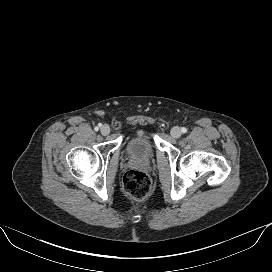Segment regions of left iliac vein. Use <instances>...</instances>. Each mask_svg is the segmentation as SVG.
<instances>
[{"instance_id":"left-iliac-vein-1","label":"left iliac vein","mask_w":272,"mask_h":272,"mask_svg":"<svg viewBox=\"0 0 272 272\" xmlns=\"http://www.w3.org/2000/svg\"><path fill=\"white\" fill-rule=\"evenodd\" d=\"M170 133H171V136L174 138H179L182 134L181 129L177 126L173 127Z\"/></svg>"}]
</instances>
